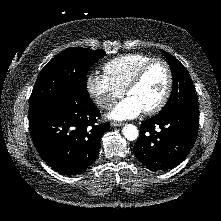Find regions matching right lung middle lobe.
<instances>
[{
	"label": "right lung middle lobe",
	"instance_id": "1",
	"mask_svg": "<svg viewBox=\"0 0 221 221\" xmlns=\"http://www.w3.org/2000/svg\"><path fill=\"white\" fill-rule=\"evenodd\" d=\"M105 53L70 47L54 57L40 72L29 99V118L61 98L89 100L86 75Z\"/></svg>",
	"mask_w": 221,
	"mask_h": 221
}]
</instances>
